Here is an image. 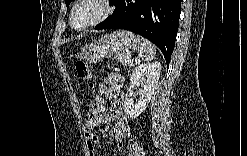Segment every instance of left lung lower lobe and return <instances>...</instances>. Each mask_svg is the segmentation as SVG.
I'll return each instance as SVG.
<instances>
[{
    "instance_id": "1",
    "label": "left lung lower lobe",
    "mask_w": 247,
    "mask_h": 156,
    "mask_svg": "<svg viewBox=\"0 0 247 156\" xmlns=\"http://www.w3.org/2000/svg\"><path fill=\"white\" fill-rule=\"evenodd\" d=\"M113 14L95 29H125L153 42L167 65L175 46L181 0H119Z\"/></svg>"
}]
</instances>
